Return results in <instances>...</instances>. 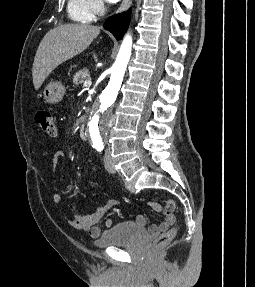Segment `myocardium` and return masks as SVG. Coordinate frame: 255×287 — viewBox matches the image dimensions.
<instances>
[{"mask_svg":"<svg viewBox=\"0 0 255 287\" xmlns=\"http://www.w3.org/2000/svg\"><path fill=\"white\" fill-rule=\"evenodd\" d=\"M103 33V32H101ZM95 39H110V38H95ZM95 48H106V47H95Z\"/></svg>","mask_w":255,"mask_h":287,"instance_id":"1","label":"myocardium"}]
</instances>
